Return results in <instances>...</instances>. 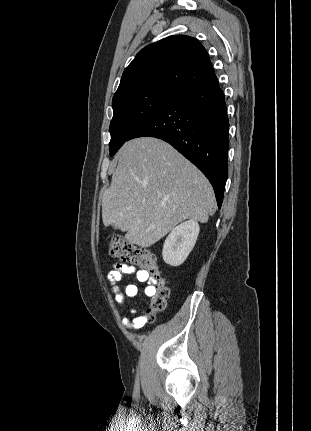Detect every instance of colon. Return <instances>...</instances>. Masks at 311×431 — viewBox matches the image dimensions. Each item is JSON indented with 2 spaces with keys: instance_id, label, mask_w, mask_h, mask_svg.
Returning <instances> with one entry per match:
<instances>
[{
  "instance_id": "1",
  "label": "colon",
  "mask_w": 311,
  "mask_h": 431,
  "mask_svg": "<svg viewBox=\"0 0 311 431\" xmlns=\"http://www.w3.org/2000/svg\"><path fill=\"white\" fill-rule=\"evenodd\" d=\"M108 250L111 256L122 262L139 266L152 277L154 293L151 296L146 316L148 320H154L166 308L169 297L167 281L159 270L155 255L149 249L140 248L119 235L111 237Z\"/></svg>"
}]
</instances>
